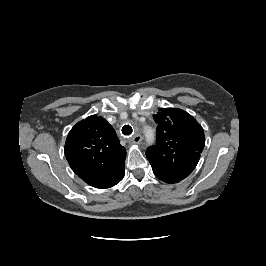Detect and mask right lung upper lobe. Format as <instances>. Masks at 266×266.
<instances>
[{
  "label": "right lung upper lobe",
  "instance_id": "right-lung-upper-lobe-1",
  "mask_svg": "<svg viewBox=\"0 0 266 266\" xmlns=\"http://www.w3.org/2000/svg\"><path fill=\"white\" fill-rule=\"evenodd\" d=\"M64 150L72 170L95 188H110L124 177L126 150L101 116L78 122L69 132Z\"/></svg>",
  "mask_w": 266,
  "mask_h": 266
}]
</instances>
